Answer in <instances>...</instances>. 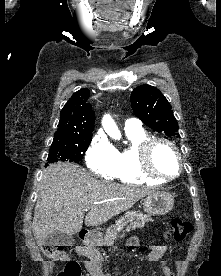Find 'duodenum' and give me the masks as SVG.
<instances>
[{"label": "duodenum", "instance_id": "410a0bca", "mask_svg": "<svg viewBox=\"0 0 221 276\" xmlns=\"http://www.w3.org/2000/svg\"><path fill=\"white\" fill-rule=\"evenodd\" d=\"M79 237L86 245H90L92 242L91 232L87 229H81L79 231Z\"/></svg>", "mask_w": 221, "mask_h": 276}]
</instances>
